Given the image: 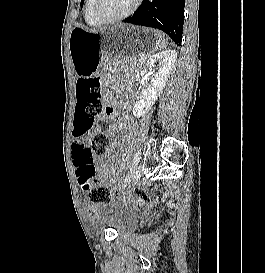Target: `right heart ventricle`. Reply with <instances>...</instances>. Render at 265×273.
I'll use <instances>...</instances> for the list:
<instances>
[{"label": "right heart ventricle", "instance_id": "right-heart-ventricle-1", "mask_svg": "<svg viewBox=\"0 0 265 273\" xmlns=\"http://www.w3.org/2000/svg\"><path fill=\"white\" fill-rule=\"evenodd\" d=\"M91 5H92V0H85V5H84L85 22L87 23V25L91 27H100L103 25V23H101L94 17L91 11Z\"/></svg>", "mask_w": 265, "mask_h": 273}]
</instances>
